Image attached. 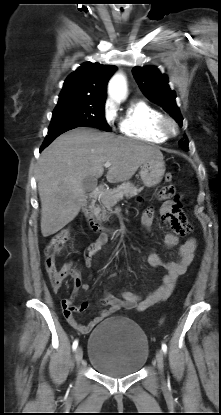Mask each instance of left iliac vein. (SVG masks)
<instances>
[{
    "label": "left iliac vein",
    "instance_id": "obj_1",
    "mask_svg": "<svg viewBox=\"0 0 221 415\" xmlns=\"http://www.w3.org/2000/svg\"><path fill=\"white\" fill-rule=\"evenodd\" d=\"M156 362H157V367L159 369V372L162 376L163 375V367H164V356H163V352L161 350H158L157 353H156Z\"/></svg>",
    "mask_w": 221,
    "mask_h": 415
}]
</instances>
